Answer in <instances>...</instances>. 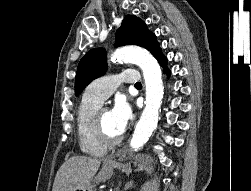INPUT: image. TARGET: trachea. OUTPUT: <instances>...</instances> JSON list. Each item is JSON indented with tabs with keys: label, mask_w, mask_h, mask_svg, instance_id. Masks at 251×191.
<instances>
[{
	"label": "trachea",
	"mask_w": 251,
	"mask_h": 191,
	"mask_svg": "<svg viewBox=\"0 0 251 191\" xmlns=\"http://www.w3.org/2000/svg\"><path fill=\"white\" fill-rule=\"evenodd\" d=\"M138 86H142V84L139 81H137V83H135V87H138Z\"/></svg>",
	"instance_id": "trachea-1"
}]
</instances>
